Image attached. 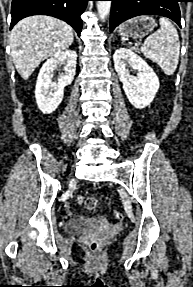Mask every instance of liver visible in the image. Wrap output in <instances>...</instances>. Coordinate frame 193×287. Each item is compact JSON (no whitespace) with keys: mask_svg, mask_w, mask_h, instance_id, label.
Masks as SVG:
<instances>
[{"mask_svg":"<svg viewBox=\"0 0 193 287\" xmlns=\"http://www.w3.org/2000/svg\"><path fill=\"white\" fill-rule=\"evenodd\" d=\"M73 39L72 27L54 17L38 15L21 20L10 35L11 55L17 72L27 80L43 60L65 51Z\"/></svg>","mask_w":193,"mask_h":287,"instance_id":"liver-1","label":"liver"}]
</instances>
